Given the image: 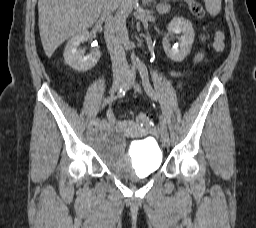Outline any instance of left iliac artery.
Here are the masks:
<instances>
[{
	"label": "left iliac artery",
	"mask_w": 256,
	"mask_h": 228,
	"mask_svg": "<svg viewBox=\"0 0 256 228\" xmlns=\"http://www.w3.org/2000/svg\"><path fill=\"white\" fill-rule=\"evenodd\" d=\"M137 68L139 70V74L142 80V85L144 87V90L146 91L147 95L154 99L157 100V94L154 91V89L152 88L150 81H149V76H148V71H147V67L144 63H138ZM160 127L162 131L168 132L167 131V126H166V121L163 118V116H160Z\"/></svg>",
	"instance_id": "1"
}]
</instances>
